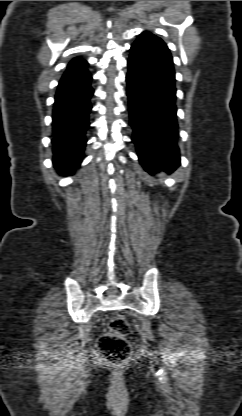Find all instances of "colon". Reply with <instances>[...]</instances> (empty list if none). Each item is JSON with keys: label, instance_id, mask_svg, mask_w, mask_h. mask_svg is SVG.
<instances>
[{"label": "colon", "instance_id": "1", "mask_svg": "<svg viewBox=\"0 0 242 416\" xmlns=\"http://www.w3.org/2000/svg\"><path fill=\"white\" fill-rule=\"evenodd\" d=\"M131 329L128 321L120 315L109 321V331L100 336L97 342L99 350L113 363L125 361L131 352L127 336Z\"/></svg>", "mask_w": 242, "mask_h": 416}]
</instances>
